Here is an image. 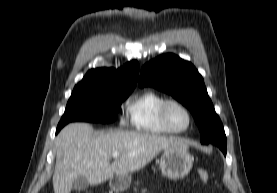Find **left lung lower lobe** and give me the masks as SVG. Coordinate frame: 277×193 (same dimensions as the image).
Masks as SVG:
<instances>
[{"instance_id":"0a47b994","label":"left lung lower lobe","mask_w":277,"mask_h":193,"mask_svg":"<svg viewBox=\"0 0 277 193\" xmlns=\"http://www.w3.org/2000/svg\"><path fill=\"white\" fill-rule=\"evenodd\" d=\"M215 145H217L222 150L224 155H226V152H227L226 138L218 139L217 144Z\"/></svg>"}]
</instances>
